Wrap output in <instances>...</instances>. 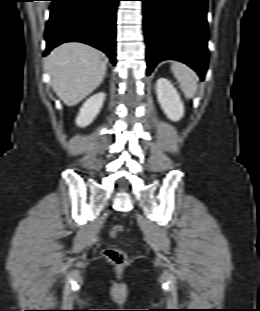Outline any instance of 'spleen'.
Here are the masks:
<instances>
[{
    "label": "spleen",
    "mask_w": 260,
    "mask_h": 311,
    "mask_svg": "<svg viewBox=\"0 0 260 311\" xmlns=\"http://www.w3.org/2000/svg\"><path fill=\"white\" fill-rule=\"evenodd\" d=\"M171 70L185 96L188 99L193 98L197 90V74L187 65L176 61L172 63Z\"/></svg>",
    "instance_id": "3e777b00"
}]
</instances>
